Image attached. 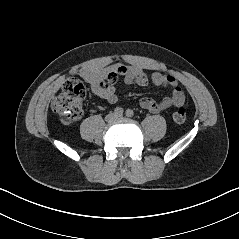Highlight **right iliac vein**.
Instances as JSON below:
<instances>
[{
	"label": "right iliac vein",
	"mask_w": 239,
	"mask_h": 239,
	"mask_svg": "<svg viewBox=\"0 0 239 239\" xmlns=\"http://www.w3.org/2000/svg\"><path fill=\"white\" fill-rule=\"evenodd\" d=\"M115 118H116V115L113 114V113H111V114L107 115L106 120H107V121H111V120H113V119H115Z\"/></svg>",
	"instance_id": "right-iliac-vein-1"
}]
</instances>
